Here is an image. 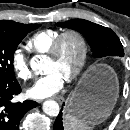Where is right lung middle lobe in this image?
<instances>
[{
    "mask_svg": "<svg viewBox=\"0 0 130 130\" xmlns=\"http://www.w3.org/2000/svg\"><path fill=\"white\" fill-rule=\"evenodd\" d=\"M40 25L20 24L17 27L0 26V78L16 82L13 58L14 52L22 39Z\"/></svg>",
    "mask_w": 130,
    "mask_h": 130,
    "instance_id": "right-lung-middle-lobe-1",
    "label": "right lung middle lobe"
}]
</instances>
